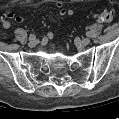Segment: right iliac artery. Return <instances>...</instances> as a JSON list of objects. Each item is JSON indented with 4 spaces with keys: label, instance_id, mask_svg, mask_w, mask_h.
<instances>
[{
    "label": "right iliac artery",
    "instance_id": "1",
    "mask_svg": "<svg viewBox=\"0 0 119 119\" xmlns=\"http://www.w3.org/2000/svg\"><path fill=\"white\" fill-rule=\"evenodd\" d=\"M34 39H36V36L34 34H30L29 40H34Z\"/></svg>",
    "mask_w": 119,
    "mask_h": 119
}]
</instances>
